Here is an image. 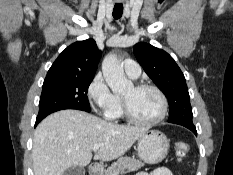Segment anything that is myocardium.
Wrapping results in <instances>:
<instances>
[{"label": "myocardium", "instance_id": "1", "mask_svg": "<svg viewBox=\"0 0 233 175\" xmlns=\"http://www.w3.org/2000/svg\"><path fill=\"white\" fill-rule=\"evenodd\" d=\"M133 88L137 91L150 89L155 91L158 96L160 97L162 103V109L159 116L152 120H142L134 116L131 111L130 105L128 101L121 97V105H122V112L123 116L132 124L141 125V126H152L160 123L163 121L168 113V100L165 93L156 85L149 84V83H138L133 86Z\"/></svg>", "mask_w": 233, "mask_h": 175}]
</instances>
